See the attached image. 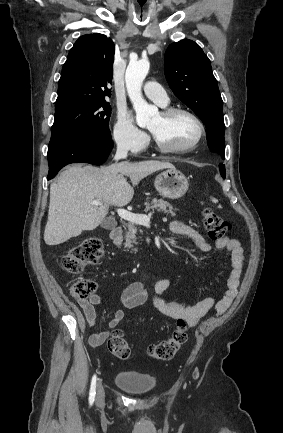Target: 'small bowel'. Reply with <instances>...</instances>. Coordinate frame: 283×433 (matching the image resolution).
<instances>
[{
    "label": "small bowel",
    "mask_w": 283,
    "mask_h": 433,
    "mask_svg": "<svg viewBox=\"0 0 283 433\" xmlns=\"http://www.w3.org/2000/svg\"><path fill=\"white\" fill-rule=\"evenodd\" d=\"M169 230L178 235H183L190 238L197 248L203 252H208L212 249L211 244L197 230L188 224L173 220L169 224ZM215 248L218 251H227L231 255V273L227 281V290L220 298L208 297L194 305L185 306L177 301H169L162 297L172 285L170 278H162L158 280L153 287L152 294L146 289L140 281H134L127 285L119 296L120 307H118L112 318L107 324V327L99 332L94 333L89 337V343L93 347L102 345L109 337L111 331L123 320L125 310L134 309L151 301L154 308L168 318L175 320H183L187 326L194 327L198 324L200 318L211 309H214L216 315H222L227 311L232 302L237 296L240 279L243 272L244 250L241 243L237 239L222 238L215 243ZM101 302V297L97 293H93L87 299L77 300L81 309V313H77V320L80 325L86 323L90 327L96 325V306Z\"/></svg>",
    "instance_id": "small-bowel-1"
}]
</instances>
